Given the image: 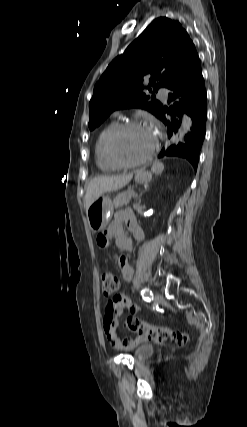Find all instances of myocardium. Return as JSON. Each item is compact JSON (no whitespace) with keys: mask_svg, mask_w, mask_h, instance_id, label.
Wrapping results in <instances>:
<instances>
[{"mask_svg":"<svg viewBox=\"0 0 247 427\" xmlns=\"http://www.w3.org/2000/svg\"><path fill=\"white\" fill-rule=\"evenodd\" d=\"M144 127L138 121L130 120L120 123L110 134L106 143V152L109 160L119 168H128L142 165L148 162L155 153L158 145V138L155 136L154 142L149 151L140 159L134 161H126L120 157L117 152V142L121 135L130 128Z\"/></svg>","mask_w":247,"mask_h":427,"instance_id":"f54148a6","label":"myocardium"}]
</instances>
